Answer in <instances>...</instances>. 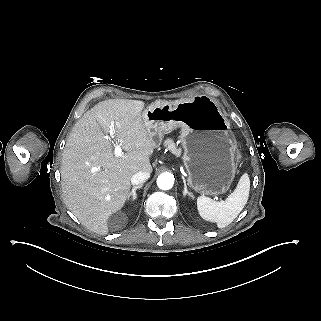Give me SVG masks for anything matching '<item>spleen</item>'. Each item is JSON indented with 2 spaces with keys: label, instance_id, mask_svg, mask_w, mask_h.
<instances>
[{
  "label": "spleen",
  "instance_id": "3e777b00",
  "mask_svg": "<svg viewBox=\"0 0 321 321\" xmlns=\"http://www.w3.org/2000/svg\"><path fill=\"white\" fill-rule=\"evenodd\" d=\"M250 181L244 174L236 189L221 202H215L205 196L197 198V211L199 216L208 222L216 223L218 228L229 225L242 211L247 203Z\"/></svg>",
  "mask_w": 321,
  "mask_h": 321
}]
</instances>
